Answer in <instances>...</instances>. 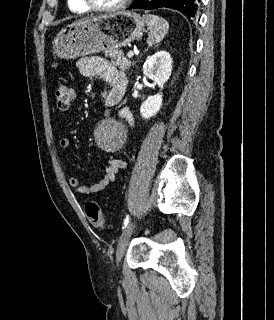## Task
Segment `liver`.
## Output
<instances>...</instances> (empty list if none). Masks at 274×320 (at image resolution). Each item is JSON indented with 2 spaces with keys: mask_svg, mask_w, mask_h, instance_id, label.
I'll return each instance as SVG.
<instances>
[{
  "mask_svg": "<svg viewBox=\"0 0 274 320\" xmlns=\"http://www.w3.org/2000/svg\"><path fill=\"white\" fill-rule=\"evenodd\" d=\"M92 18H97V16H92ZM84 20H87V18H84ZM80 22V20H78Z\"/></svg>",
  "mask_w": 274,
  "mask_h": 320,
  "instance_id": "liver-1",
  "label": "liver"
}]
</instances>
